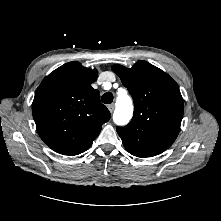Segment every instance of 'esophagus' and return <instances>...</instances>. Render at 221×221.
Segmentation results:
<instances>
[{
    "label": "esophagus",
    "mask_w": 221,
    "mask_h": 221,
    "mask_svg": "<svg viewBox=\"0 0 221 221\" xmlns=\"http://www.w3.org/2000/svg\"><path fill=\"white\" fill-rule=\"evenodd\" d=\"M108 109L112 113L114 111V109H115V105L114 104H109L108 105Z\"/></svg>",
    "instance_id": "1"
}]
</instances>
